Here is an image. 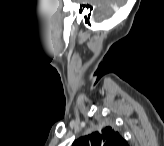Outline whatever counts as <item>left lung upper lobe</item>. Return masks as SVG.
I'll use <instances>...</instances> for the list:
<instances>
[{"label":"left lung upper lobe","mask_w":164,"mask_h":146,"mask_svg":"<svg viewBox=\"0 0 164 146\" xmlns=\"http://www.w3.org/2000/svg\"><path fill=\"white\" fill-rule=\"evenodd\" d=\"M73 146H127L125 139L111 127H105L77 139Z\"/></svg>","instance_id":"obj_1"}]
</instances>
